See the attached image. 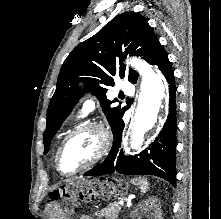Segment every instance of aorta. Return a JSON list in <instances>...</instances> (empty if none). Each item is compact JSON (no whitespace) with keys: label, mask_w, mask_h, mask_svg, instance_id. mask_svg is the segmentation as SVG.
I'll list each match as a JSON object with an SVG mask.
<instances>
[{"label":"aorta","mask_w":221,"mask_h":219,"mask_svg":"<svg viewBox=\"0 0 221 219\" xmlns=\"http://www.w3.org/2000/svg\"><path fill=\"white\" fill-rule=\"evenodd\" d=\"M127 63L142 77L141 91L130 134L131 148L138 149L143 143L145 133L157 122L166 96V84L145 61L132 58Z\"/></svg>","instance_id":"aorta-1"}]
</instances>
